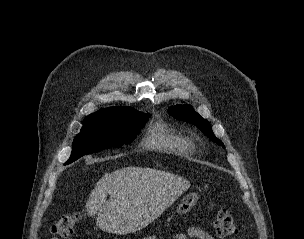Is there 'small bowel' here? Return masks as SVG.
Here are the masks:
<instances>
[{
    "label": "small bowel",
    "mask_w": 304,
    "mask_h": 239,
    "mask_svg": "<svg viewBox=\"0 0 304 239\" xmlns=\"http://www.w3.org/2000/svg\"><path fill=\"white\" fill-rule=\"evenodd\" d=\"M188 238H196V239H215L208 232L203 230L200 227H191L188 229L186 233H177L174 235L173 239H188ZM51 239H57L52 237Z\"/></svg>",
    "instance_id": "c3829d8e"
}]
</instances>
